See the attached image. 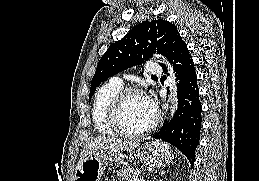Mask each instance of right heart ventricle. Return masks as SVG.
<instances>
[{"instance_id": "obj_1", "label": "right heart ventricle", "mask_w": 259, "mask_h": 181, "mask_svg": "<svg viewBox=\"0 0 259 181\" xmlns=\"http://www.w3.org/2000/svg\"><path fill=\"white\" fill-rule=\"evenodd\" d=\"M122 89V85L116 84L112 80L101 85L96 91L91 117L95 128L101 134H116L117 130L111 123L110 107L114 97Z\"/></svg>"}]
</instances>
